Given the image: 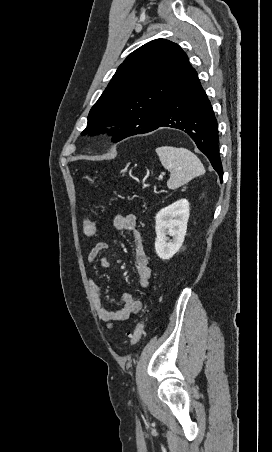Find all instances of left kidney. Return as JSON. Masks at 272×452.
I'll use <instances>...</instances> for the list:
<instances>
[{
	"label": "left kidney",
	"mask_w": 272,
	"mask_h": 452,
	"mask_svg": "<svg viewBox=\"0 0 272 452\" xmlns=\"http://www.w3.org/2000/svg\"><path fill=\"white\" fill-rule=\"evenodd\" d=\"M189 215L187 199H180L157 213L155 250L162 260H169L179 251L186 235Z\"/></svg>",
	"instance_id": "obj_1"
}]
</instances>
